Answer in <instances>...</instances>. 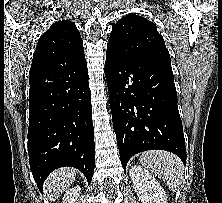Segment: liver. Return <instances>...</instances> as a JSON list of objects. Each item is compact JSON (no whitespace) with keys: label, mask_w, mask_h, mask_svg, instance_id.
Masks as SVG:
<instances>
[{"label":"liver","mask_w":222,"mask_h":203,"mask_svg":"<svg viewBox=\"0 0 222 203\" xmlns=\"http://www.w3.org/2000/svg\"><path fill=\"white\" fill-rule=\"evenodd\" d=\"M77 171L74 168H60L52 172L44 183V190L50 201H55L74 181Z\"/></svg>","instance_id":"liver-1"}]
</instances>
